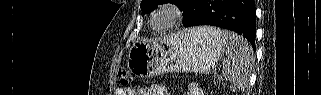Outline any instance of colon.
Masks as SVG:
<instances>
[{
	"label": "colon",
	"mask_w": 321,
	"mask_h": 95,
	"mask_svg": "<svg viewBox=\"0 0 321 95\" xmlns=\"http://www.w3.org/2000/svg\"><path fill=\"white\" fill-rule=\"evenodd\" d=\"M118 77L122 85H129L132 82V76L128 69L120 68L118 70Z\"/></svg>",
	"instance_id": "colon-1"
}]
</instances>
